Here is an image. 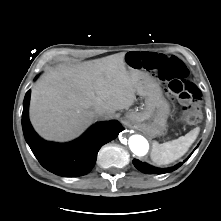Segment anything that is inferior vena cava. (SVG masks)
Returning <instances> with one entry per match:
<instances>
[{"label": "inferior vena cava", "instance_id": "obj_1", "mask_svg": "<svg viewBox=\"0 0 221 221\" xmlns=\"http://www.w3.org/2000/svg\"><path fill=\"white\" fill-rule=\"evenodd\" d=\"M95 115L97 118H100V119H105L106 117V113L102 110H96Z\"/></svg>", "mask_w": 221, "mask_h": 221}]
</instances>
